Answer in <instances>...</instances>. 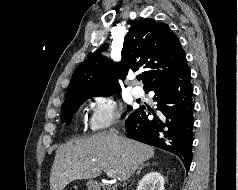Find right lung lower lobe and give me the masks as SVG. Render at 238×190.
Masks as SVG:
<instances>
[{
    "label": "right lung lower lobe",
    "instance_id": "1",
    "mask_svg": "<svg viewBox=\"0 0 238 190\" xmlns=\"http://www.w3.org/2000/svg\"><path fill=\"white\" fill-rule=\"evenodd\" d=\"M154 91L158 116L155 118L145 107H139L127 118V137L170 151L183 161L189 170L192 161L193 142V87L190 69L185 60L167 77L151 84L146 92Z\"/></svg>",
    "mask_w": 238,
    "mask_h": 190
}]
</instances>
